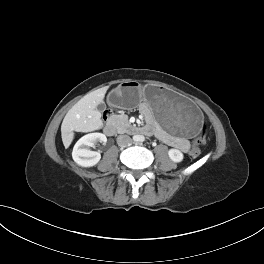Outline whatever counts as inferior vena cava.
Segmentation results:
<instances>
[{
  "instance_id": "602c4592",
  "label": "inferior vena cava",
  "mask_w": 264,
  "mask_h": 264,
  "mask_svg": "<svg viewBox=\"0 0 264 264\" xmlns=\"http://www.w3.org/2000/svg\"><path fill=\"white\" fill-rule=\"evenodd\" d=\"M117 144L120 147L130 146L132 144V139L128 135H120L117 138Z\"/></svg>"
}]
</instances>
